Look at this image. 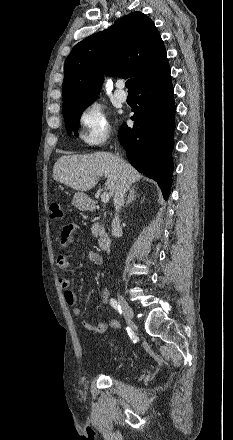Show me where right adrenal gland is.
I'll use <instances>...</instances> for the list:
<instances>
[{"label":"right adrenal gland","instance_id":"2a0ac1e0","mask_svg":"<svg viewBox=\"0 0 233 440\" xmlns=\"http://www.w3.org/2000/svg\"><path fill=\"white\" fill-rule=\"evenodd\" d=\"M135 189H136V186H132L130 188V192H129L127 201L125 202V207L129 206L130 203H132V201H134L136 199L137 195L135 194Z\"/></svg>","mask_w":233,"mask_h":440}]
</instances>
